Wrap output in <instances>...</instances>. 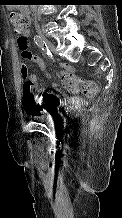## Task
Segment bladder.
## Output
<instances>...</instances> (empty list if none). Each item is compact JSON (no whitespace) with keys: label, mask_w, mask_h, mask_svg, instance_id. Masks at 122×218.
Wrapping results in <instances>:
<instances>
[{"label":"bladder","mask_w":122,"mask_h":218,"mask_svg":"<svg viewBox=\"0 0 122 218\" xmlns=\"http://www.w3.org/2000/svg\"><path fill=\"white\" fill-rule=\"evenodd\" d=\"M34 118H35V119H41V118H42V115H35Z\"/></svg>","instance_id":"obj_1"}]
</instances>
